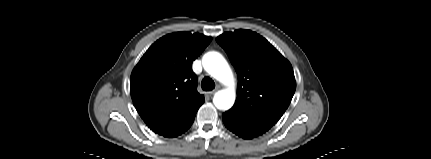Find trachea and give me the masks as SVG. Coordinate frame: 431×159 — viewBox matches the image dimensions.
<instances>
[{
    "label": "trachea",
    "instance_id": "3493384b",
    "mask_svg": "<svg viewBox=\"0 0 431 159\" xmlns=\"http://www.w3.org/2000/svg\"><path fill=\"white\" fill-rule=\"evenodd\" d=\"M201 87L204 91H211L215 88V83L211 78L205 77L201 82Z\"/></svg>",
    "mask_w": 431,
    "mask_h": 159
}]
</instances>
